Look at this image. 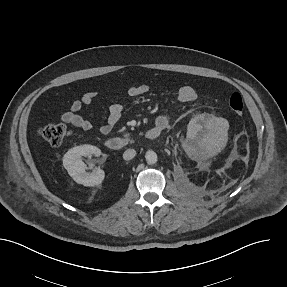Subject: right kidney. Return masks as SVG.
Wrapping results in <instances>:
<instances>
[{
	"label": "right kidney",
	"instance_id": "right-kidney-1",
	"mask_svg": "<svg viewBox=\"0 0 287 287\" xmlns=\"http://www.w3.org/2000/svg\"><path fill=\"white\" fill-rule=\"evenodd\" d=\"M100 154V149L95 146H76L64 155L63 166L76 183L84 186H97L104 180L105 173L100 168L94 169L91 173L86 172L87 166L82 161V156H100Z\"/></svg>",
	"mask_w": 287,
	"mask_h": 287
}]
</instances>
